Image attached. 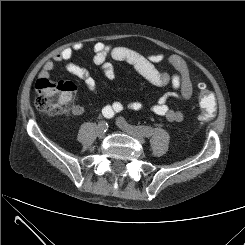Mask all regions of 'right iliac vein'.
Wrapping results in <instances>:
<instances>
[{
  "label": "right iliac vein",
  "instance_id": "obj_1",
  "mask_svg": "<svg viewBox=\"0 0 245 245\" xmlns=\"http://www.w3.org/2000/svg\"><path fill=\"white\" fill-rule=\"evenodd\" d=\"M98 137L100 138V139H102V138H104L105 137V130L103 129V127L102 126H100L99 125V127H98Z\"/></svg>",
  "mask_w": 245,
  "mask_h": 245
}]
</instances>
